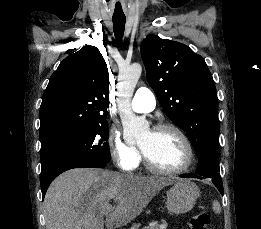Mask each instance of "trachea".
<instances>
[{
	"instance_id": "obj_1",
	"label": "trachea",
	"mask_w": 261,
	"mask_h": 229,
	"mask_svg": "<svg viewBox=\"0 0 261 229\" xmlns=\"http://www.w3.org/2000/svg\"><path fill=\"white\" fill-rule=\"evenodd\" d=\"M126 23V17L113 16V30L117 43L122 42L124 28Z\"/></svg>"
}]
</instances>
